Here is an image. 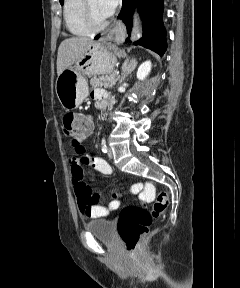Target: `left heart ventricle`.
I'll use <instances>...</instances> for the list:
<instances>
[{
    "instance_id": "1",
    "label": "left heart ventricle",
    "mask_w": 240,
    "mask_h": 288,
    "mask_svg": "<svg viewBox=\"0 0 240 288\" xmlns=\"http://www.w3.org/2000/svg\"><path fill=\"white\" fill-rule=\"evenodd\" d=\"M88 4L90 6V9L92 11L93 17L96 20V22L100 23L105 21L107 18L101 13L99 7H98V0H88Z\"/></svg>"
}]
</instances>
